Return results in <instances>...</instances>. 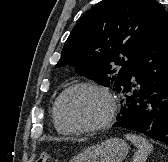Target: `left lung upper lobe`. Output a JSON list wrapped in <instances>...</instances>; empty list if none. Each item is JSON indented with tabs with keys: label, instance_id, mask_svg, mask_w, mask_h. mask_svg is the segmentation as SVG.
Here are the masks:
<instances>
[{
	"label": "left lung upper lobe",
	"instance_id": "left-lung-upper-lobe-1",
	"mask_svg": "<svg viewBox=\"0 0 168 162\" xmlns=\"http://www.w3.org/2000/svg\"><path fill=\"white\" fill-rule=\"evenodd\" d=\"M167 17L155 0H102L77 22L56 67L73 66L79 75L119 91Z\"/></svg>",
	"mask_w": 168,
	"mask_h": 162
}]
</instances>
